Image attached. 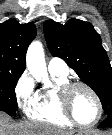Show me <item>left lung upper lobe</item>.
I'll list each match as a JSON object with an SVG mask.
<instances>
[{
    "instance_id": "obj_1",
    "label": "left lung upper lobe",
    "mask_w": 112,
    "mask_h": 135,
    "mask_svg": "<svg viewBox=\"0 0 112 135\" xmlns=\"http://www.w3.org/2000/svg\"><path fill=\"white\" fill-rule=\"evenodd\" d=\"M47 46L62 58L100 98L106 116H112V68L99 34L92 24L70 19L66 24H44Z\"/></svg>"
}]
</instances>
